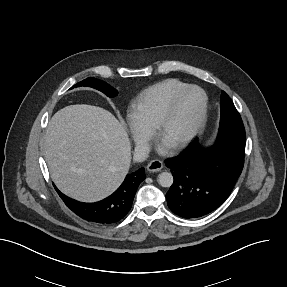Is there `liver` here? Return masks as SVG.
<instances>
[{
  "instance_id": "6515ba94",
  "label": "liver",
  "mask_w": 287,
  "mask_h": 287,
  "mask_svg": "<svg viewBox=\"0 0 287 287\" xmlns=\"http://www.w3.org/2000/svg\"><path fill=\"white\" fill-rule=\"evenodd\" d=\"M42 148L56 186L83 202H95L114 192L131 163L125 127L109 111L86 104L56 112Z\"/></svg>"
}]
</instances>
